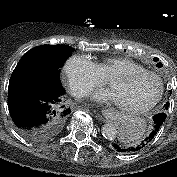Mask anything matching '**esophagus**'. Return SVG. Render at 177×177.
<instances>
[{
  "label": "esophagus",
  "mask_w": 177,
  "mask_h": 177,
  "mask_svg": "<svg viewBox=\"0 0 177 177\" xmlns=\"http://www.w3.org/2000/svg\"><path fill=\"white\" fill-rule=\"evenodd\" d=\"M111 114V112L109 110H103L102 111V115L107 118L109 115Z\"/></svg>",
  "instance_id": "34e87169"
}]
</instances>
